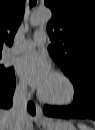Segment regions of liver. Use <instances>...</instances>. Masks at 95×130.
<instances>
[{
  "mask_svg": "<svg viewBox=\"0 0 95 130\" xmlns=\"http://www.w3.org/2000/svg\"><path fill=\"white\" fill-rule=\"evenodd\" d=\"M20 128L21 130H33V121L29 115L23 119ZM0 130H15V122L9 110H0Z\"/></svg>",
  "mask_w": 95,
  "mask_h": 130,
  "instance_id": "liver-1",
  "label": "liver"
}]
</instances>
